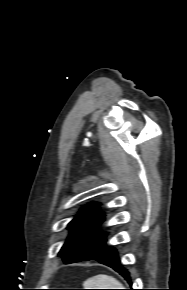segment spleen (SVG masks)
<instances>
[{
	"label": "spleen",
	"mask_w": 187,
	"mask_h": 290,
	"mask_svg": "<svg viewBox=\"0 0 187 290\" xmlns=\"http://www.w3.org/2000/svg\"><path fill=\"white\" fill-rule=\"evenodd\" d=\"M85 286L93 287L92 289H123V285L117 279L104 274L88 279Z\"/></svg>",
	"instance_id": "spleen-1"
}]
</instances>
